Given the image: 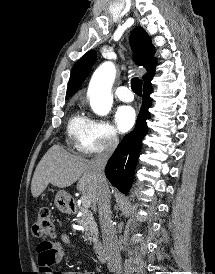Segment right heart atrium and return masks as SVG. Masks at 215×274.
<instances>
[{"label":"right heart atrium","instance_id":"right-heart-atrium-1","mask_svg":"<svg viewBox=\"0 0 215 274\" xmlns=\"http://www.w3.org/2000/svg\"><path fill=\"white\" fill-rule=\"evenodd\" d=\"M119 144L115 128L106 120L89 119L87 131L76 145L84 155H94L102 152H111Z\"/></svg>","mask_w":215,"mask_h":274}]
</instances>
